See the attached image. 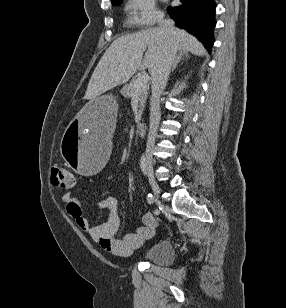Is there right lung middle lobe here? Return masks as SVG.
Instances as JSON below:
<instances>
[{"mask_svg": "<svg viewBox=\"0 0 286 308\" xmlns=\"http://www.w3.org/2000/svg\"><path fill=\"white\" fill-rule=\"evenodd\" d=\"M123 0H114L112 1V5H120Z\"/></svg>", "mask_w": 286, "mask_h": 308, "instance_id": "right-lung-middle-lobe-1", "label": "right lung middle lobe"}]
</instances>
